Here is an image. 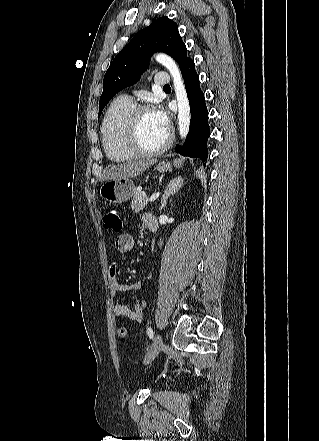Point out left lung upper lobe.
<instances>
[{"mask_svg": "<svg viewBox=\"0 0 319 441\" xmlns=\"http://www.w3.org/2000/svg\"><path fill=\"white\" fill-rule=\"evenodd\" d=\"M155 52H164L173 57L180 69L190 60L177 24L168 17L153 20L149 27L139 31L114 58L104 77L99 116L117 92L140 78L150 56Z\"/></svg>", "mask_w": 319, "mask_h": 441, "instance_id": "5c2ea615", "label": "left lung upper lobe"}]
</instances>
